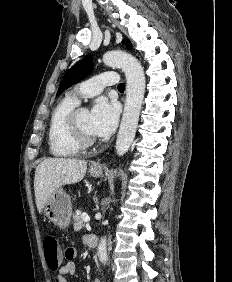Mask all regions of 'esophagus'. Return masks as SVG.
Segmentation results:
<instances>
[{"label": "esophagus", "instance_id": "obj_1", "mask_svg": "<svg viewBox=\"0 0 232 282\" xmlns=\"http://www.w3.org/2000/svg\"><path fill=\"white\" fill-rule=\"evenodd\" d=\"M100 165H99V163H93L92 164V167H94V168H98Z\"/></svg>", "mask_w": 232, "mask_h": 282}]
</instances>
